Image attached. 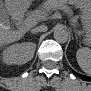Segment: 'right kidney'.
I'll return each mask as SVG.
<instances>
[{
	"label": "right kidney",
	"mask_w": 91,
	"mask_h": 91,
	"mask_svg": "<svg viewBox=\"0 0 91 91\" xmlns=\"http://www.w3.org/2000/svg\"><path fill=\"white\" fill-rule=\"evenodd\" d=\"M36 49V44L25 42V43H16L5 50L2 53V60L4 63L11 65L17 64L21 65L26 63L31 59Z\"/></svg>",
	"instance_id": "right-kidney-1"
}]
</instances>
